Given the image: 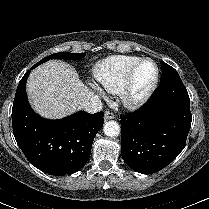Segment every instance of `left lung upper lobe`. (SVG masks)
Segmentation results:
<instances>
[{"instance_id": "5c2ea615", "label": "left lung upper lobe", "mask_w": 209, "mask_h": 209, "mask_svg": "<svg viewBox=\"0 0 209 209\" xmlns=\"http://www.w3.org/2000/svg\"><path fill=\"white\" fill-rule=\"evenodd\" d=\"M161 67H162V75L160 78V84L169 82V81H181L180 76L178 75L177 71L173 67L166 64L163 61H161Z\"/></svg>"}]
</instances>
